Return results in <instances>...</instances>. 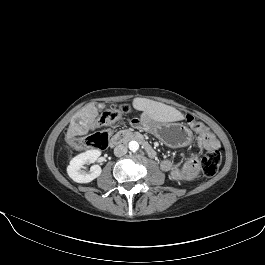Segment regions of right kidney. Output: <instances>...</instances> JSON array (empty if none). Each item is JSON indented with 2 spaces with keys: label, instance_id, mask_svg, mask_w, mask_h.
Segmentation results:
<instances>
[{
  "label": "right kidney",
  "instance_id": "ca27d5eb",
  "mask_svg": "<svg viewBox=\"0 0 265 265\" xmlns=\"http://www.w3.org/2000/svg\"><path fill=\"white\" fill-rule=\"evenodd\" d=\"M100 155L99 150H89L74 157L67 167L69 177L77 183H89L99 177L102 172L99 165L91 166L89 172H85L82 168L85 164L95 163Z\"/></svg>",
  "mask_w": 265,
  "mask_h": 265
}]
</instances>
